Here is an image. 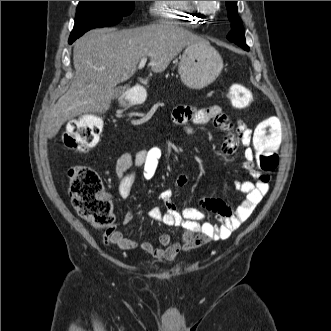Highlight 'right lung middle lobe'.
<instances>
[{
  "instance_id": "dd1d6c3e",
  "label": "right lung middle lobe",
  "mask_w": 331,
  "mask_h": 331,
  "mask_svg": "<svg viewBox=\"0 0 331 331\" xmlns=\"http://www.w3.org/2000/svg\"><path fill=\"white\" fill-rule=\"evenodd\" d=\"M133 9L134 1H79L69 41L73 42L92 28L115 25Z\"/></svg>"
}]
</instances>
